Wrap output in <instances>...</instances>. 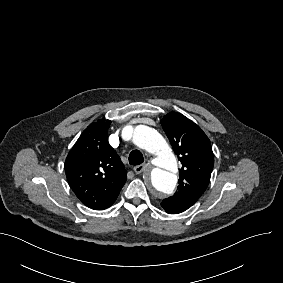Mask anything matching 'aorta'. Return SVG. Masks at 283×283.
Returning <instances> with one entry per match:
<instances>
[{
	"label": "aorta",
	"instance_id": "762f6f07",
	"mask_svg": "<svg viewBox=\"0 0 283 283\" xmlns=\"http://www.w3.org/2000/svg\"><path fill=\"white\" fill-rule=\"evenodd\" d=\"M133 143L157 157L150 175V183L157 190L165 194L173 193L177 184V160L172 149L156 130L139 125L133 130Z\"/></svg>",
	"mask_w": 283,
	"mask_h": 283
}]
</instances>
